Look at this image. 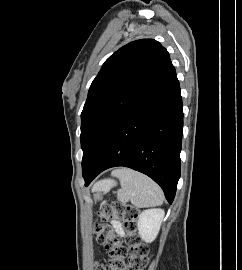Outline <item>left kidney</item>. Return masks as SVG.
I'll use <instances>...</instances> for the list:
<instances>
[{
	"instance_id": "left-kidney-1",
	"label": "left kidney",
	"mask_w": 242,
	"mask_h": 270,
	"mask_svg": "<svg viewBox=\"0 0 242 270\" xmlns=\"http://www.w3.org/2000/svg\"><path fill=\"white\" fill-rule=\"evenodd\" d=\"M164 211L162 209H146L139 215L137 228L139 235L146 243L153 242L160 230L164 218Z\"/></svg>"
}]
</instances>
